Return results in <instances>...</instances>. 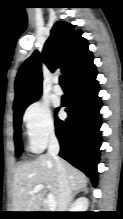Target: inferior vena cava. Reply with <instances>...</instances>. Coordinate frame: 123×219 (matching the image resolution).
<instances>
[{"label": "inferior vena cava", "instance_id": "1", "mask_svg": "<svg viewBox=\"0 0 123 219\" xmlns=\"http://www.w3.org/2000/svg\"><path fill=\"white\" fill-rule=\"evenodd\" d=\"M59 151H60V146L58 139L53 134L50 137L48 154L51 155L55 160L58 179H59V195L57 202V212H68L71 202L72 191L69 185L64 164L58 157Z\"/></svg>", "mask_w": 123, "mask_h": 219}]
</instances>
